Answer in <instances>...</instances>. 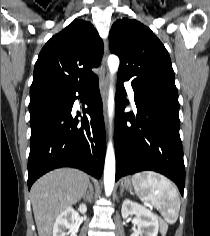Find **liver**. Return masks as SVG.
<instances>
[{
  "instance_id": "liver-1",
  "label": "liver",
  "mask_w": 210,
  "mask_h": 236,
  "mask_svg": "<svg viewBox=\"0 0 210 236\" xmlns=\"http://www.w3.org/2000/svg\"><path fill=\"white\" fill-rule=\"evenodd\" d=\"M89 176L83 171L61 168L39 178L31 188V203L39 236H51L57 216L86 193Z\"/></svg>"
}]
</instances>
